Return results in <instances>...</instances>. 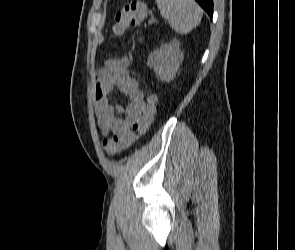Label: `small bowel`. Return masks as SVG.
<instances>
[{
  "label": "small bowel",
  "mask_w": 295,
  "mask_h": 250,
  "mask_svg": "<svg viewBox=\"0 0 295 250\" xmlns=\"http://www.w3.org/2000/svg\"><path fill=\"white\" fill-rule=\"evenodd\" d=\"M130 61L127 57L106 61L105 66L96 74L95 114L100 133L110 139H117L123 149L136 141L135 128L142 120L147 103L144 92L136 79L128 74ZM121 90L129 99L123 109L114 102L113 93Z\"/></svg>",
  "instance_id": "1"
}]
</instances>
